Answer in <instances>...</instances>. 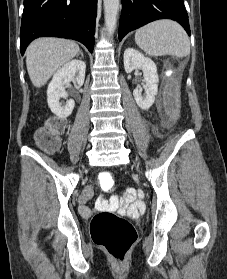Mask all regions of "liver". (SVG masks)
<instances>
[{
    "label": "liver",
    "instance_id": "obj_1",
    "mask_svg": "<svg viewBox=\"0 0 227 279\" xmlns=\"http://www.w3.org/2000/svg\"><path fill=\"white\" fill-rule=\"evenodd\" d=\"M80 52L71 40L43 37L33 41L26 50V66L32 84L41 87L56 70Z\"/></svg>",
    "mask_w": 227,
    "mask_h": 279
}]
</instances>
